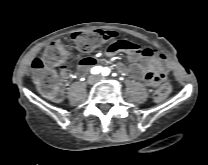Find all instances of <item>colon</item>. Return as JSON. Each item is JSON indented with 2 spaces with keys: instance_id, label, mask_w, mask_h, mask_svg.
Segmentation results:
<instances>
[{
  "instance_id": "5ec220e1",
  "label": "colon",
  "mask_w": 208,
  "mask_h": 165,
  "mask_svg": "<svg viewBox=\"0 0 208 165\" xmlns=\"http://www.w3.org/2000/svg\"><path fill=\"white\" fill-rule=\"evenodd\" d=\"M72 40L80 52L86 53L100 45L104 41V35L100 30L79 31L72 35ZM69 59V50L64 45L54 42L47 47L43 57L33 60L31 65L33 81L45 96L52 99L61 97L62 86L55 68L65 69ZM171 90V84L164 82L155 90L154 100L156 102L165 100Z\"/></svg>"
}]
</instances>
